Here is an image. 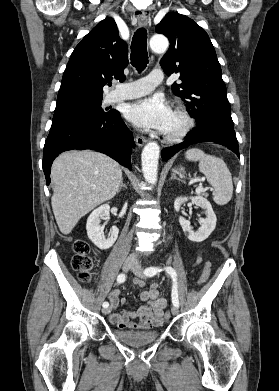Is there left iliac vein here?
<instances>
[{
    "label": "left iliac vein",
    "mask_w": 279,
    "mask_h": 391,
    "mask_svg": "<svg viewBox=\"0 0 279 391\" xmlns=\"http://www.w3.org/2000/svg\"><path fill=\"white\" fill-rule=\"evenodd\" d=\"M132 272L137 276V277H140V278H145L144 276V273H143V268L141 267V265L138 263V262H135L133 267L131 268ZM171 313L172 315H177L179 313V309L178 307L176 306H173L171 308Z\"/></svg>",
    "instance_id": "obj_1"
}]
</instances>
